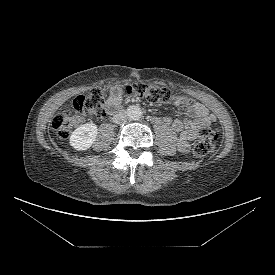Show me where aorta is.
I'll return each instance as SVG.
<instances>
[{"mask_svg":"<svg viewBox=\"0 0 275 275\" xmlns=\"http://www.w3.org/2000/svg\"><path fill=\"white\" fill-rule=\"evenodd\" d=\"M127 116L131 120H139L142 117V110L137 105H131L127 108Z\"/></svg>","mask_w":275,"mask_h":275,"instance_id":"762f6f07","label":"aorta"}]
</instances>
